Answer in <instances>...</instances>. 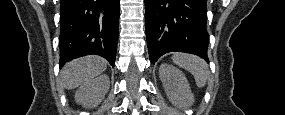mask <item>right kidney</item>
I'll return each instance as SVG.
<instances>
[{"instance_id":"1","label":"right kidney","mask_w":285,"mask_h":115,"mask_svg":"<svg viewBox=\"0 0 285 115\" xmlns=\"http://www.w3.org/2000/svg\"><path fill=\"white\" fill-rule=\"evenodd\" d=\"M109 86V77L106 74H102L83 83L75 93V101L85 107L96 106L105 97Z\"/></svg>"}]
</instances>
